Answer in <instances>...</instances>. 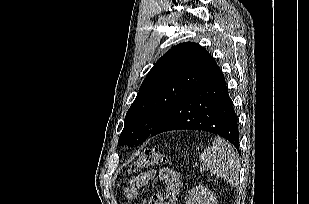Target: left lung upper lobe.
I'll return each mask as SVG.
<instances>
[{"mask_svg": "<svg viewBox=\"0 0 309 204\" xmlns=\"http://www.w3.org/2000/svg\"><path fill=\"white\" fill-rule=\"evenodd\" d=\"M220 71L211 54L193 42L166 52L149 71L125 117L119 144H142L178 101Z\"/></svg>", "mask_w": 309, "mask_h": 204, "instance_id": "1", "label": "left lung upper lobe"}]
</instances>
